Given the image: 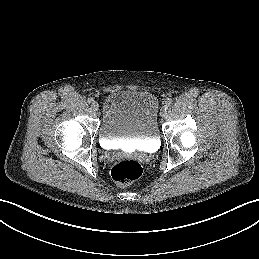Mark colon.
Returning a JSON list of instances; mask_svg holds the SVG:
<instances>
[{
    "label": "colon",
    "mask_w": 259,
    "mask_h": 259,
    "mask_svg": "<svg viewBox=\"0 0 259 259\" xmlns=\"http://www.w3.org/2000/svg\"><path fill=\"white\" fill-rule=\"evenodd\" d=\"M142 172V165L132 158L117 161L111 169L113 180L120 186L130 185L142 175Z\"/></svg>",
    "instance_id": "obj_1"
}]
</instances>
